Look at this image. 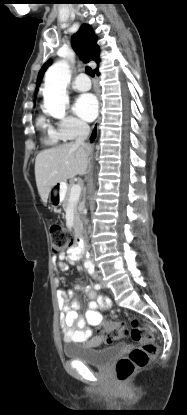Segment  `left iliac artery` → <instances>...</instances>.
Here are the masks:
<instances>
[{
	"mask_svg": "<svg viewBox=\"0 0 187 415\" xmlns=\"http://www.w3.org/2000/svg\"><path fill=\"white\" fill-rule=\"evenodd\" d=\"M87 269H88V272H89L90 275H93L94 277L97 276V273L95 272L93 265L87 266ZM95 289H100V285L99 284H96L95 285Z\"/></svg>",
	"mask_w": 187,
	"mask_h": 415,
	"instance_id": "left-iliac-artery-1",
	"label": "left iliac artery"
}]
</instances>
